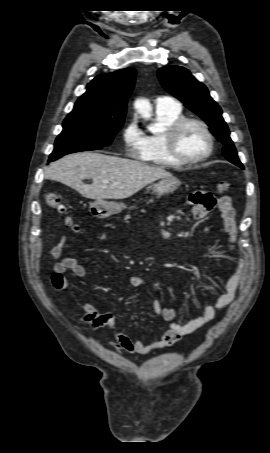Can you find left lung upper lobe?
Masks as SVG:
<instances>
[{
  "label": "left lung upper lobe",
  "mask_w": 270,
  "mask_h": 453,
  "mask_svg": "<svg viewBox=\"0 0 270 453\" xmlns=\"http://www.w3.org/2000/svg\"><path fill=\"white\" fill-rule=\"evenodd\" d=\"M158 77L167 92L181 100L198 114L210 131L224 144L223 154L233 164L244 168L240 162L229 129L222 118V110L211 98L206 86L198 82L189 70L179 66H166L158 70Z\"/></svg>",
  "instance_id": "5c2ea615"
}]
</instances>
